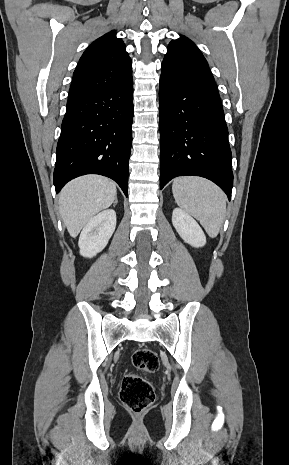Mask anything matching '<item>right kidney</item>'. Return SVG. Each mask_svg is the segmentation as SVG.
<instances>
[{
    "mask_svg": "<svg viewBox=\"0 0 289 465\" xmlns=\"http://www.w3.org/2000/svg\"><path fill=\"white\" fill-rule=\"evenodd\" d=\"M116 227V212L107 209L94 216L83 228L78 246L83 257L92 258L107 245Z\"/></svg>",
    "mask_w": 289,
    "mask_h": 465,
    "instance_id": "right-kidney-1",
    "label": "right kidney"
}]
</instances>
